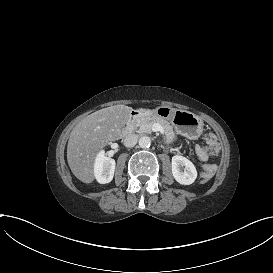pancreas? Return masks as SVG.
Returning <instances> with one entry per match:
<instances>
[{"label":"pancreas","instance_id":"obj_1","mask_svg":"<svg viewBox=\"0 0 273 273\" xmlns=\"http://www.w3.org/2000/svg\"><path fill=\"white\" fill-rule=\"evenodd\" d=\"M158 123L164 129V133L166 136V143L169 144L173 142L176 138L175 133L173 131V126L170 125L168 121L158 116H146V117H138L136 119V132L137 133H147L150 134L152 132L153 124Z\"/></svg>","mask_w":273,"mask_h":273}]
</instances>
